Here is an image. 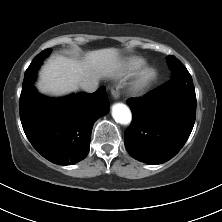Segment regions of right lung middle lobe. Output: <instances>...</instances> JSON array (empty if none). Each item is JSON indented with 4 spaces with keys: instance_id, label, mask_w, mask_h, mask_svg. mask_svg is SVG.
<instances>
[{
    "instance_id": "dd1d6c3e",
    "label": "right lung middle lobe",
    "mask_w": 222,
    "mask_h": 222,
    "mask_svg": "<svg viewBox=\"0 0 222 222\" xmlns=\"http://www.w3.org/2000/svg\"><path fill=\"white\" fill-rule=\"evenodd\" d=\"M51 51H52V49L44 50L33 59L30 66L28 67V69L25 72V77H24L22 88L33 83V81L35 80V77H36V72H37L39 66L41 65V62L43 61V59L46 56H48V54Z\"/></svg>"
}]
</instances>
